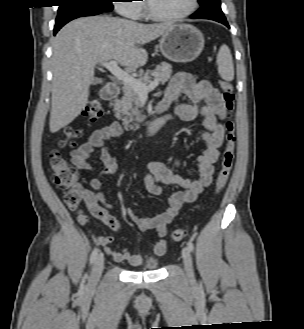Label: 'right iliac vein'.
Wrapping results in <instances>:
<instances>
[{
  "label": "right iliac vein",
  "mask_w": 304,
  "mask_h": 329,
  "mask_svg": "<svg viewBox=\"0 0 304 329\" xmlns=\"http://www.w3.org/2000/svg\"><path fill=\"white\" fill-rule=\"evenodd\" d=\"M104 267V256L100 254L95 262L94 266L92 268V272L90 275V284L91 285H96L101 277L102 271Z\"/></svg>",
  "instance_id": "63e3f726"
}]
</instances>
